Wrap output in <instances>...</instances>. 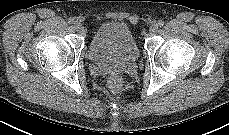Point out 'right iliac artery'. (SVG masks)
I'll use <instances>...</instances> for the list:
<instances>
[{"mask_svg": "<svg viewBox=\"0 0 229 135\" xmlns=\"http://www.w3.org/2000/svg\"><path fill=\"white\" fill-rule=\"evenodd\" d=\"M68 23L69 24H74L75 23V19L74 18H69L68 19Z\"/></svg>", "mask_w": 229, "mask_h": 135, "instance_id": "obj_1", "label": "right iliac artery"}]
</instances>
